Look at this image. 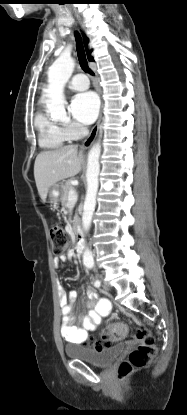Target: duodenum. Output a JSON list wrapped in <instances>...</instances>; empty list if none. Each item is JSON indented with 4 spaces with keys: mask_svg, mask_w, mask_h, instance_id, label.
Instances as JSON below:
<instances>
[{
    "mask_svg": "<svg viewBox=\"0 0 187 415\" xmlns=\"http://www.w3.org/2000/svg\"><path fill=\"white\" fill-rule=\"evenodd\" d=\"M72 232H73L75 242H76L75 252L79 253L82 249L83 240H82V231H81L80 223L78 221L73 222Z\"/></svg>",
    "mask_w": 187,
    "mask_h": 415,
    "instance_id": "obj_1",
    "label": "duodenum"
}]
</instances>
